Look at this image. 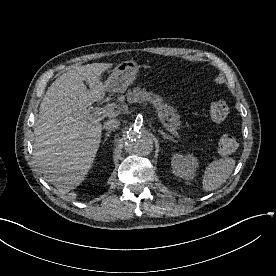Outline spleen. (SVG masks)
I'll use <instances>...</instances> for the list:
<instances>
[{"mask_svg":"<svg viewBox=\"0 0 276 276\" xmlns=\"http://www.w3.org/2000/svg\"><path fill=\"white\" fill-rule=\"evenodd\" d=\"M235 167L232 158L219 159L211 162L203 176L204 191H212L220 187L229 178Z\"/></svg>","mask_w":276,"mask_h":276,"instance_id":"spleen-1","label":"spleen"}]
</instances>
